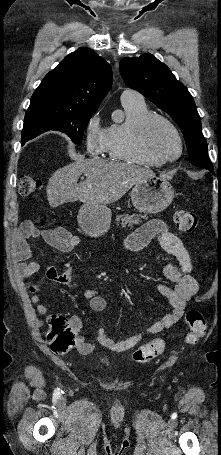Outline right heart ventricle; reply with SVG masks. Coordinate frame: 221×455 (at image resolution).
<instances>
[{
	"label": "right heart ventricle",
	"mask_w": 221,
	"mask_h": 455,
	"mask_svg": "<svg viewBox=\"0 0 221 455\" xmlns=\"http://www.w3.org/2000/svg\"><path fill=\"white\" fill-rule=\"evenodd\" d=\"M122 105L126 119L123 123H114L107 128L104 152L112 160L143 165L156 164L137 150L133 139L136 125L151 113L150 110L144 102L122 101Z\"/></svg>",
	"instance_id": "1"
}]
</instances>
